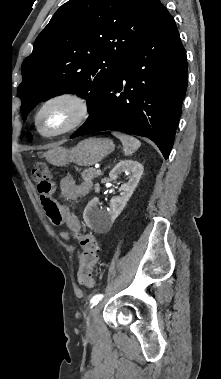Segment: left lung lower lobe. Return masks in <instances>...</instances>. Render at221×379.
Segmentation results:
<instances>
[{
  "label": "left lung lower lobe",
  "instance_id": "obj_1",
  "mask_svg": "<svg viewBox=\"0 0 221 379\" xmlns=\"http://www.w3.org/2000/svg\"><path fill=\"white\" fill-rule=\"evenodd\" d=\"M187 73L186 51L164 7L154 28L105 83L89 118L71 138L123 131L151 139L167 159L181 116Z\"/></svg>",
  "mask_w": 221,
  "mask_h": 379
}]
</instances>
